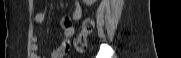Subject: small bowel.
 Masks as SVG:
<instances>
[{"label": "small bowel", "instance_id": "1", "mask_svg": "<svg viewBox=\"0 0 181 58\" xmlns=\"http://www.w3.org/2000/svg\"><path fill=\"white\" fill-rule=\"evenodd\" d=\"M81 15H82L81 7L79 6V4L74 3L71 14L64 17L62 20V29L65 39L61 42V44H59L52 50L51 58H62L69 51L71 46V38L75 32L74 23L81 18ZM44 19H45L44 13L38 12L35 14L36 23L41 24L44 22ZM33 41H34V44L32 45L33 58H39V56L37 55L38 38L35 36L33 38Z\"/></svg>", "mask_w": 181, "mask_h": 58}]
</instances>
